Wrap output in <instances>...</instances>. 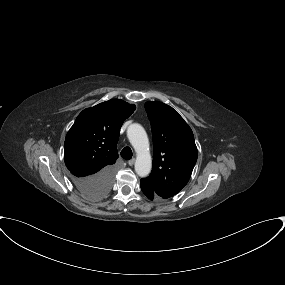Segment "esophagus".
<instances>
[{
    "label": "esophagus",
    "instance_id": "1",
    "mask_svg": "<svg viewBox=\"0 0 285 285\" xmlns=\"http://www.w3.org/2000/svg\"><path fill=\"white\" fill-rule=\"evenodd\" d=\"M134 163H135V159L134 158L128 161V165H130V166H133Z\"/></svg>",
    "mask_w": 285,
    "mask_h": 285
}]
</instances>
